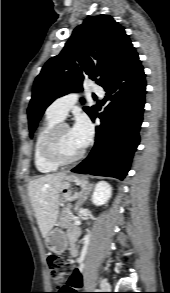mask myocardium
<instances>
[{"mask_svg":"<svg viewBox=\"0 0 170 293\" xmlns=\"http://www.w3.org/2000/svg\"><path fill=\"white\" fill-rule=\"evenodd\" d=\"M62 128H69V125L65 122H59L58 124H56L47 134L43 145L44 157L49 162L60 166L78 161L85 153V149L82 148L80 152L70 158H63L58 154L57 138Z\"/></svg>","mask_w":170,"mask_h":293,"instance_id":"1","label":"myocardium"}]
</instances>
